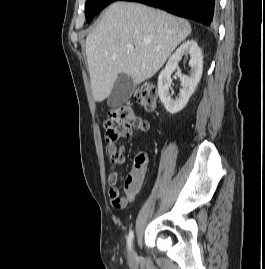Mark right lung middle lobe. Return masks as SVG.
I'll list each match as a JSON object with an SVG mask.
<instances>
[{"label": "right lung middle lobe", "instance_id": "right-lung-middle-lobe-1", "mask_svg": "<svg viewBox=\"0 0 265 269\" xmlns=\"http://www.w3.org/2000/svg\"><path fill=\"white\" fill-rule=\"evenodd\" d=\"M115 1L117 0H86L85 15L87 22H90L98 12Z\"/></svg>", "mask_w": 265, "mask_h": 269}]
</instances>
